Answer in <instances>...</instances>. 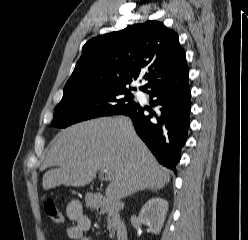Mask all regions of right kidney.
Returning <instances> with one entry per match:
<instances>
[{"mask_svg":"<svg viewBox=\"0 0 248 240\" xmlns=\"http://www.w3.org/2000/svg\"><path fill=\"white\" fill-rule=\"evenodd\" d=\"M168 211V202L165 199L155 197L150 199L142 207L139 221L147 225L154 234H159Z\"/></svg>","mask_w":248,"mask_h":240,"instance_id":"ca27d5eb","label":"right kidney"}]
</instances>
